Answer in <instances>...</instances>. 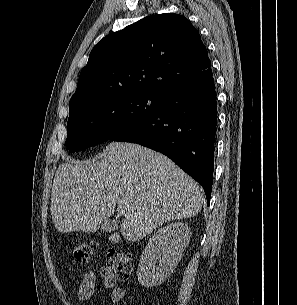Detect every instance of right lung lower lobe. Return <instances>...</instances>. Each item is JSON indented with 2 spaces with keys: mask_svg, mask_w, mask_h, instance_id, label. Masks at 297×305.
Masks as SVG:
<instances>
[{
  "mask_svg": "<svg viewBox=\"0 0 297 305\" xmlns=\"http://www.w3.org/2000/svg\"><path fill=\"white\" fill-rule=\"evenodd\" d=\"M217 101L213 76L171 90L147 117L110 140L137 143L172 159L204 188L209 204L213 183Z\"/></svg>",
  "mask_w": 297,
  "mask_h": 305,
  "instance_id": "1",
  "label": "right lung lower lobe"
}]
</instances>
